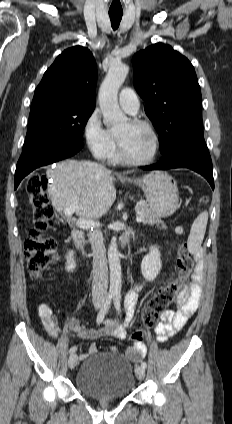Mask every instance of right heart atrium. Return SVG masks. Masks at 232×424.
I'll list each match as a JSON object with an SVG mask.
<instances>
[{"label":"right heart atrium","mask_w":232,"mask_h":424,"mask_svg":"<svg viewBox=\"0 0 232 424\" xmlns=\"http://www.w3.org/2000/svg\"><path fill=\"white\" fill-rule=\"evenodd\" d=\"M83 136L88 149L97 158L108 157L115 146L113 135L103 126L97 112L86 120Z\"/></svg>","instance_id":"1"}]
</instances>
